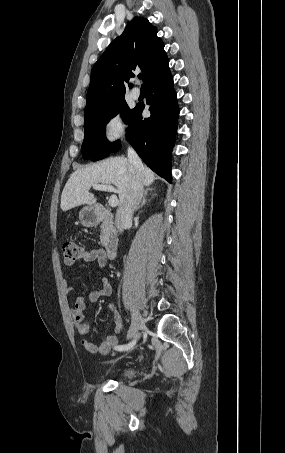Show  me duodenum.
Returning <instances> with one entry per match:
<instances>
[{
	"label": "duodenum",
	"instance_id": "1",
	"mask_svg": "<svg viewBox=\"0 0 285 453\" xmlns=\"http://www.w3.org/2000/svg\"><path fill=\"white\" fill-rule=\"evenodd\" d=\"M93 219L97 223L106 226V232L103 240L105 253L109 259L116 256L118 250V236L114 227V215L108 209L102 206L94 208Z\"/></svg>",
	"mask_w": 285,
	"mask_h": 453
}]
</instances>
